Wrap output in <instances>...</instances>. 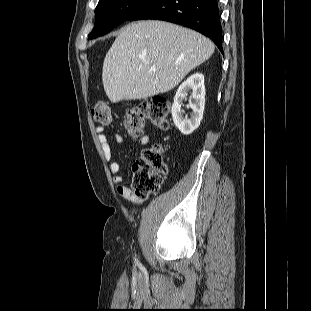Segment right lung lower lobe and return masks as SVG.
Listing matches in <instances>:
<instances>
[{"mask_svg":"<svg viewBox=\"0 0 311 311\" xmlns=\"http://www.w3.org/2000/svg\"><path fill=\"white\" fill-rule=\"evenodd\" d=\"M156 19L192 28L209 37L223 53L222 26L217 0H154L129 21Z\"/></svg>","mask_w":311,"mask_h":311,"instance_id":"1","label":"right lung lower lobe"}]
</instances>
